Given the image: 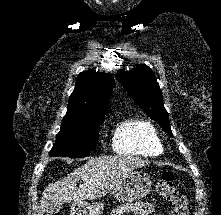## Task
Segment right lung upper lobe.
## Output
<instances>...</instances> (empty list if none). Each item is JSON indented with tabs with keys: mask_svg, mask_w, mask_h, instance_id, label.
I'll use <instances>...</instances> for the list:
<instances>
[{
	"mask_svg": "<svg viewBox=\"0 0 221 215\" xmlns=\"http://www.w3.org/2000/svg\"><path fill=\"white\" fill-rule=\"evenodd\" d=\"M113 84L110 73L95 70L80 73L75 89L70 95L66 115L104 117L108 111Z\"/></svg>",
	"mask_w": 221,
	"mask_h": 215,
	"instance_id": "right-lung-upper-lobe-1",
	"label": "right lung upper lobe"
}]
</instances>
